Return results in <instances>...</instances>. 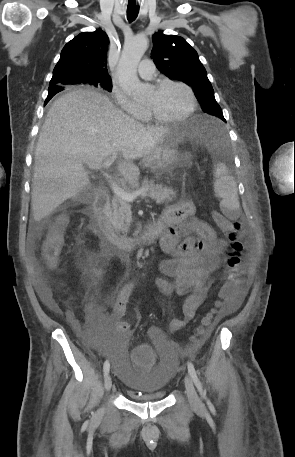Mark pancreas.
<instances>
[{"mask_svg":"<svg viewBox=\"0 0 295 457\" xmlns=\"http://www.w3.org/2000/svg\"><path fill=\"white\" fill-rule=\"evenodd\" d=\"M142 188H148L146 195L158 204L171 202L176 196V192L172 188L146 180L140 186H132L129 191L133 192ZM109 219L117 232L126 234L132 222L131 206L125 200L115 196L111 203Z\"/></svg>","mask_w":295,"mask_h":457,"instance_id":"pancreas-1","label":"pancreas"}]
</instances>
